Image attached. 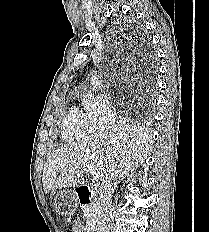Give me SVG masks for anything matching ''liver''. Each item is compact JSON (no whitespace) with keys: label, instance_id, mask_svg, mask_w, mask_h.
<instances>
[{"label":"liver","instance_id":"1","mask_svg":"<svg viewBox=\"0 0 209 232\" xmlns=\"http://www.w3.org/2000/svg\"><path fill=\"white\" fill-rule=\"evenodd\" d=\"M150 143L139 127L122 124L65 145L48 156L42 177L44 192L78 186L87 166L100 173L102 183L123 178L144 163Z\"/></svg>","mask_w":209,"mask_h":232}]
</instances>
